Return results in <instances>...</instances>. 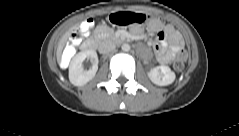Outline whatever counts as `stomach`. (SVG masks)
<instances>
[{"label": "stomach", "instance_id": "obj_1", "mask_svg": "<svg viewBox=\"0 0 239 136\" xmlns=\"http://www.w3.org/2000/svg\"><path fill=\"white\" fill-rule=\"evenodd\" d=\"M145 21V13H109V22L117 25V27L121 29L136 30L138 28V24H143Z\"/></svg>", "mask_w": 239, "mask_h": 136}]
</instances>
